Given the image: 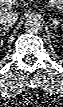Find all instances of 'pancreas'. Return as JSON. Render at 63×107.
<instances>
[{"mask_svg": "<svg viewBox=\"0 0 63 107\" xmlns=\"http://www.w3.org/2000/svg\"><path fill=\"white\" fill-rule=\"evenodd\" d=\"M51 5L55 7L58 11L63 10V1L62 0H52Z\"/></svg>", "mask_w": 63, "mask_h": 107, "instance_id": "cf45deb5", "label": "pancreas"}]
</instances>
